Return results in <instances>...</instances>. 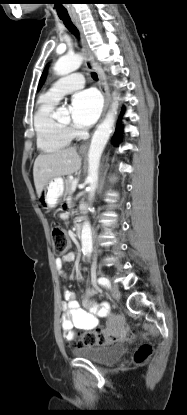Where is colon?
<instances>
[{
	"mask_svg": "<svg viewBox=\"0 0 187 415\" xmlns=\"http://www.w3.org/2000/svg\"><path fill=\"white\" fill-rule=\"evenodd\" d=\"M51 236L54 254L57 256L64 255L71 245V240L63 227L60 225H53L51 228ZM134 335L135 331L133 329L127 330L123 326L117 325L111 330H98L84 334L80 338L79 343L81 345L103 346L120 339L132 338ZM152 350L153 348L150 344H141L134 354L135 361L137 363L145 362L151 355Z\"/></svg>",
	"mask_w": 187,
	"mask_h": 415,
	"instance_id": "obj_1",
	"label": "colon"
}]
</instances>
